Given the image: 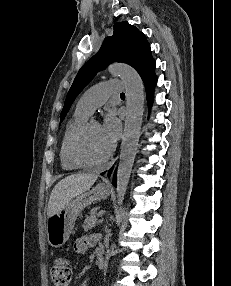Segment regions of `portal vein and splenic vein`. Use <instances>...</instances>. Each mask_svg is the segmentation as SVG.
<instances>
[{
  "mask_svg": "<svg viewBox=\"0 0 231 286\" xmlns=\"http://www.w3.org/2000/svg\"><path fill=\"white\" fill-rule=\"evenodd\" d=\"M105 214V210H101L98 212V217H102Z\"/></svg>",
  "mask_w": 231,
  "mask_h": 286,
  "instance_id": "18ae733b",
  "label": "portal vein and splenic vein"
}]
</instances>
